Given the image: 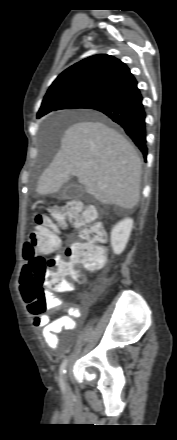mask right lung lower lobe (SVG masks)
<instances>
[{
	"mask_svg": "<svg viewBox=\"0 0 177 440\" xmlns=\"http://www.w3.org/2000/svg\"><path fill=\"white\" fill-rule=\"evenodd\" d=\"M142 99L135 80L123 88L98 98L86 108L99 111L118 123L146 159V113Z\"/></svg>",
	"mask_w": 177,
	"mask_h": 440,
	"instance_id": "1",
	"label": "right lung lower lobe"
}]
</instances>
